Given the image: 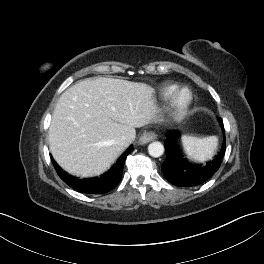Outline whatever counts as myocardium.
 <instances>
[{
	"mask_svg": "<svg viewBox=\"0 0 264 264\" xmlns=\"http://www.w3.org/2000/svg\"><path fill=\"white\" fill-rule=\"evenodd\" d=\"M193 101V94L188 88L177 89L170 98L171 116L174 120L183 119Z\"/></svg>",
	"mask_w": 264,
	"mask_h": 264,
	"instance_id": "myocardium-1",
	"label": "myocardium"
}]
</instances>
